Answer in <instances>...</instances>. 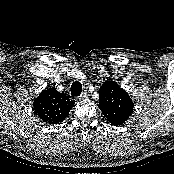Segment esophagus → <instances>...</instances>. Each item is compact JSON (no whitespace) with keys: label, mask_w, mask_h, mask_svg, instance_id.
Wrapping results in <instances>:
<instances>
[{"label":"esophagus","mask_w":174,"mask_h":174,"mask_svg":"<svg viewBox=\"0 0 174 174\" xmlns=\"http://www.w3.org/2000/svg\"><path fill=\"white\" fill-rule=\"evenodd\" d=\"M88 92L87 91H84L80 96H79V99H86L88 97Z\"/></svg>","instance_id":"1"}]
</instances>
